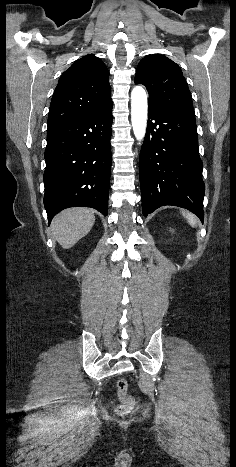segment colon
Instances as JSON below:
<instances>
[{"label": "colon", "instance_id": "colon-1", "mask_svg": "<svg viewBox=\"0 0 236 467\" xmlns=\"http://www.w3.org/2000/svg\"><path fill=\"white\" fill-rule=\"evenodd\" d=\"M128 384L125 379H120L117 384V395L121 401V404L118 405L115 409L117 415H125L129 413L134 405V399L127 394Z\"/></svg>", "mask_w": 236, "mask_h": 467}]
</instances>
